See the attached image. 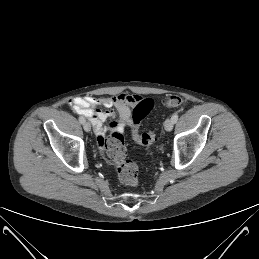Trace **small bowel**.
Returning <instances> with one entry per match:
<instances>
[{
    "mask_svg": "<svg viewBox=\"0 0 259 259\" xmlns=\"http://www.w3.org/2000/svg\"><path fill=\"white\" fill-rule=\"evenodd\" d=\"M141 98L137 95L120 93L111 97H76L70 101L73 110L80 115L87 117L93 125L98 143L104 147L106 135L112 131L122 132L126 126L132 125V109ZM100 107L106 108L101 110ZM114 108L118 114L115 119ZM112 119L109 126L104 123Z\"/></svg>",
    "mask_w": 259,
    "mask_h": 259,
    "instance_id": "c3829d8e",
    "label": "small bowel"
}]
</instances>
